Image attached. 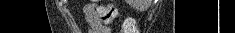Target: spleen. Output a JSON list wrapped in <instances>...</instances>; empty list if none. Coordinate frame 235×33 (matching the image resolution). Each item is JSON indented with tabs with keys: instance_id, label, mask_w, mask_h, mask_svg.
I'll list each match as a JSON object with an SVG mask.
<instances>
[{
	"instance_id": "3e777b00",
	"label": "spleen",
	"mask_w": 235,
	"mask_h": 33,
	"mask_svg": "<svg viewBox=\"0 0 235 33\" xmlns=\"http://www.w3.org/2000/svg\"><path fill=\"white\" fill-rule=\"evenodd\" d=\"M141 7H146L145 5H140Z\"/></svg>"
}]
</instances>
